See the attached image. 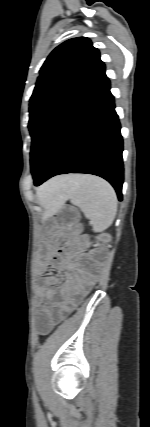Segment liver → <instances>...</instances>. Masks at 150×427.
<instances>
[{"instance_id":"6515ba94","label":"liver","mask_w":150,"mask_h":427,"mask_svg":"<svg viewBox=\"0 0 150 427\" xmlns=\"http://www.w3.org/2000/svg\"><path fill=\"white\" fill-rule=\"evenodd\" d=\"M65 177H58L55 179L50 180L48 183H46L42 188H40L38 190V197L39 200L41 202V205L45 208H48L49 206H51V204L47 201V199L45 198V193L48 190V188L50 187L51 184L53 183H57L60 182L64 179Z\"/></svg>"}]
</instances>
